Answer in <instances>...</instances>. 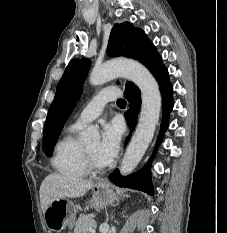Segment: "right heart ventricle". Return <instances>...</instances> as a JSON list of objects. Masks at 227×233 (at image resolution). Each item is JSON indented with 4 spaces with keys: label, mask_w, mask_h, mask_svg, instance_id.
Wrapping results in <instances>:
<instances>
[{
    "label": "right heart ventricle",
    "mask_w": 227,
    "mask_h": 233,
    "mask_svg": "<svg viewBox=\"0 0 227 233\" xmlns=\"http://www.w3.org/2000/svg\"><path fill=\"white\" fill-rule=\"evenodd\" d=\"M79 128L70 126L57 142L51 160L53 168L69 178H81L87 175L88 169L84 159V147L77 139Z\"/></svg>",
    "instance_id": "obj_1"
}]
</instances>
